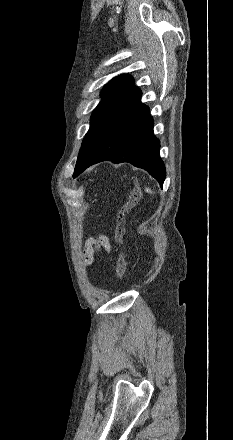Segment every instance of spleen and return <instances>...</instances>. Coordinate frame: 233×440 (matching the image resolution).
<instances>
[{
  "instance_id": "3e777b00",
  "label": "spleen",
  "mask_w": 233,
  "mask_h": 440,
  "mask_svg": "<svg viewBox=\"0 0 233 440\" xmlns=\"http://www.w3.org/2000/svg\"><path fill=\"white\" fill-rule=\"evenodd\" d=\"M145 191H146L147 193H152V191H151L149 188H145Z\"/></svg>"
}]
</instances>
